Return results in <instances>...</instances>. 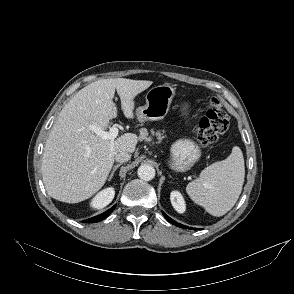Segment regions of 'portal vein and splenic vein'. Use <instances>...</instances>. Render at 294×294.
<instances>
[{"instance_id":"18ae733b","label":"portal vein and splenic vein","mask_w":294,"mask_h":294,"mask_svg":"<svg viewBox=\"0 0 294 294\" xmlns=\"http://www.w3.org/2000/svg\"><path fill=\"white\" fill-rule=\"evenodd\" d=\"M89 129L92 130L96 135L102 139L114 140L119 133V129L116 126L110 127L109 131H104L102 128L95 125H90Z\"/></svg>"}]
</instances>
